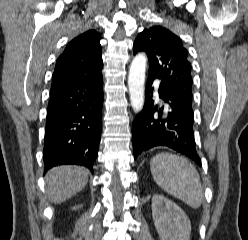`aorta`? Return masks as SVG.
Here are the masks:
<instances>
[{
	"label": "aorta",
	"mask_w": 248,
	"mask_h": 240,
	"mask_svg": "<svg viewBox=\"0 0 248 240\" xmlns=\"http://www.w3.org/2000/svg\"><path fill=\"white\" fill-rule=\"evenodd\" d=\"M147 58L144 54H138L129 68L128 88L131 106L138 113L143 109L145 100V71Z\"/></svg>",
	"instance_id": "1"
}]
</instances>
